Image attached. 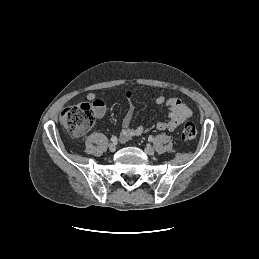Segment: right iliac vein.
<instances>
[{"label":"right iliac vein","instance_id":"obj_1","mask_svg":"<svg viewBox=\"0 0 259 259\" xmlns=\"http://www.w3.org/2000/svg\"><path fill=\"white\" fill-rule=\"evenodd\" d=\"M109 150H110L111 152H114V151L116 150V145H115L114 143H110V144H109Z\"/></svg>","mask_w":259,"mask_h":259}]
</instances>
